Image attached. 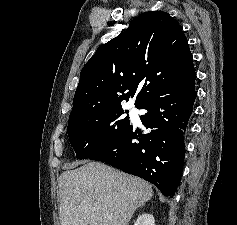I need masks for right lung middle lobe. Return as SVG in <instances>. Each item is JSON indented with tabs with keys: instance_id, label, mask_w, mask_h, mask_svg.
Segmentation results:
<instances>
[{
	"instance_id": "obj_1",
	"label": "right lung middle lobe",
	"mask_w": 237,
	"mask_h": 225,
	"mask_svg": "<svg viewBox=\"0 0 237 225\" xmlns=\"http://www.w3.org/2000/svg\"><path fill=\"white\" fill-rule=\"evenodd\" d=\"M128 111H126L127 113ZM123 110L107 111L68 125V136L78 159H86L113 143L130 127Z\"/></svg>"
}]
</instances>
